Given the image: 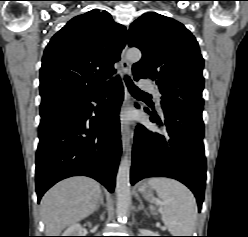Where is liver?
Returning a JSON list of instances; mask_svg holds the SVG:
<instances>
[{
  "label": "liver",
  "instance_id": "6515ba94",
  "mask_svg": "<svg viewBox=\"0 0 248 237\" xmlns=\"http://www.w3.org/2000/svg\"><path fill=\"white\" fill-rule=\"evenodd\" d=\"M100 195V184L87 177H72L53 186L41 200L46 236H59L66 227L92 214Z\"/></svg>",
  "mask_w": 248,
  "mask_h": 237
}]
</instances>
